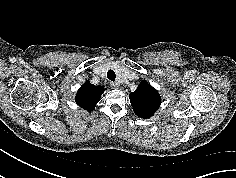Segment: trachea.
Instances as JSON below:
<instances>
[{
    "mask_svg": "<svg viewBox=\"0 0 236 178\" xmlns=\"http://www.w3.org/2000/svg\"><path fill=\"white\" fill-rule=\"evenodd\" d=\"M107 78L111 81H115V78H116V74L113 70H109L107 72Z\"/></svg>",
    "mask_w": 236,
    "mask_h": 178,
    "instance_id": "trachea-1",
    "label": "trachea"
}]
</instances>
